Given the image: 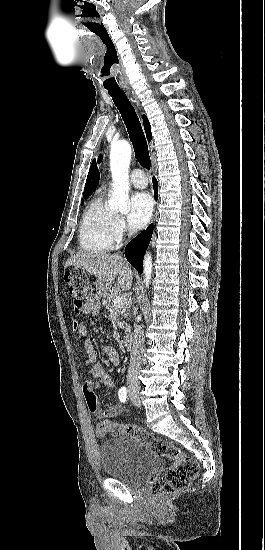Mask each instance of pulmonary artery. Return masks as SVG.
Masks as SVG:
<instances>
[{
  "label": "pulmonary artery",
  "instance_id": "obj_1",
  "mask_svg": "<svg viewBox=\"0 0 265 550\" xmlns=\"http://www.w3.org/2000/svg\"><path fill=\"white\" fill-rule=\"evenodd\" d=\"M130 183L137 189H143L147 186L148 181L145 173L140 169H136L131 174Z\"/></svg>",
  "mask_w": 265,
  "mask_h": 550
}]
</instances>
